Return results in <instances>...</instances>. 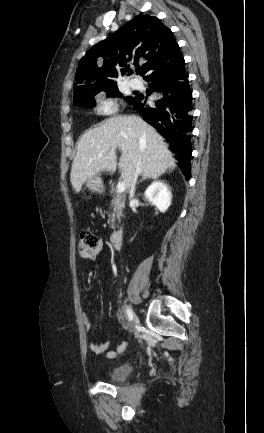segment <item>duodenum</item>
<instances>
[{"mask_svg": "<svg viewBox=\"0 0 264 433\" xmlns=\"http://www.w3.org/2000/svg\"><path fill=\"white\" fill-rule=\"evenodd\" d=\"M124 231H125V227L124 225H122L110 233L109 241L114 248L120 247L122 238L124 236Z\"/></svg>", "mask_w": 264, "mask_h": 433, "instance_id": "duodenum-1", "label": "duodenum"}]
</instances>
